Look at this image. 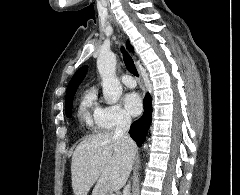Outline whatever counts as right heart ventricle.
Returning <instances> with one entry per match:
<instances>
[{
    "mask_svg": "<svg viewBox=\"0 0 240 195\" xmlns=\"http://www.w3.org/2000/svg\"><path fill=\"white\" fill-rule=\"evenodd\" d=\"M101 110L102 107L98 102L96 91L94 89L88 90L80 103L78 116L81 124L88 128L91 133L110 130L101 117Z\"/></svg>",
    "mask_w": 240,
    "mask_h": 195,
    "instance_id": "1",
    "label": "right heart ventricle"
}]
</instances>
